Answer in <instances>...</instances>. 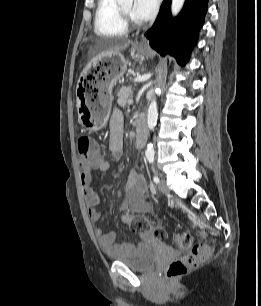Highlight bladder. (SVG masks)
I'll return each instance as SVG.
<instances>
[{
    "label": "bladder",
    "mask_w": 261,
    "mask_h": 306,
    "mask_svg": "<svg viewBox=\"0 0 261 306\" xmlns=\"http://www.w3.org/2000/svg\"><path fill=\"white\" fill-rule=\"evenodd\" d=\"M107 259L127 265L138 271L152 268L158 260V255L152 241L143 239L124 254L107 255Z\"/></svg>",
    "instance_id": "1"
}]
</instances>
